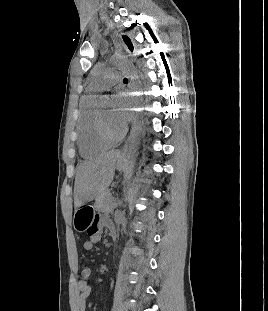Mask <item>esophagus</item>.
<instances>
[{
  "label": "esophagus",
  "mask_w": 268,
  "mask_h": 311,
  "mask_svg": "<svg viewBox=\"0 0 268 311\" xmlns=\"http://www.w3.org/2000/svg\"><path fill=\"white\" fill-rule=\"evenodd\" d=\"M126 147H127V145L125 144V146L123 147V151H125V150H126Z\"/></svg>",
  "instance_id": "1"
}]
</instances>
